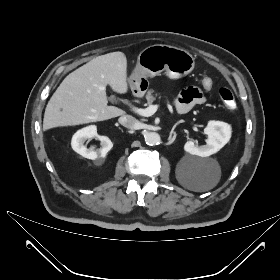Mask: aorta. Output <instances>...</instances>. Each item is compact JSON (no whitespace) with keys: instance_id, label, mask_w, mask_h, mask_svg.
I'll return each mask as SVG.
<instances>
[{"instance_id":"obj_1","label":"aorta","mask_w":280,"mask_h":280,"mask_svg":"<svg viewBox=\"0 0 280 280\" xmlns=\"http://www.w3.org/2000/svg\"><path fill=\"white\" fill-rule=\"evenodd\" d=\"M144 138L146 144L150 146L158 145L160 143V135L156 132H148Z\"/></svg>"}]
</instances>
